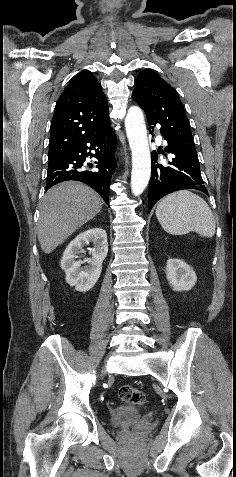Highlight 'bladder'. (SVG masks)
Segmentation results:
<instances>
[{"instance_id":"31cf9c89","label":"bladder","mask_w":236,"mask_h":477,"mask_svg":"<svg viewBox=\"0 0 236 477\" xmlns=\"http://www.w3.org/2000/svg\"><path fill=\"white\" fill-rule=\"evenodd\" d=\"M141 415L133 404L118 405L109 414V423L113 427H120L137 422Z\"/></svg>"}]
</instances>
